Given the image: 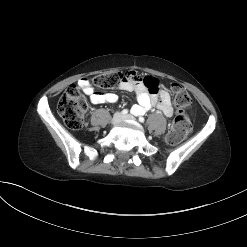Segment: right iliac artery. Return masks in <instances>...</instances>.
<instances>
[{
    "mask_svg": "<svg viewBox=\"0 0 247 247\" xmlns=\"http://www.w3.org/2000/svg\"><path fill=\"white\" fill-rule=\"evenodd\" d=\"M122 114H123V115L128 114V109H124V110H122Z\"/></svg>",
    "mask_w": 247,
    "mask_h": 247,
    "instance_id": "1",
    "label": "right iliac artery"
}]
</instances>
